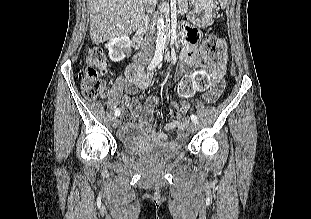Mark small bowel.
<instances>
[{
  "label": "small bowel",
  "mask_w": 311,
  "mask_h": 219,
  "mask_svg": "<svg viewBox=\"0 0 311 219\" xmlns=\"http://www.w3.org/2000/svg\"><path fill=\"white\" fill-rule=\"evenodd\" d=\"M182 51L179 58V66L175 74V81L183 83L192 77L188 68L196 63L197 43L190 36V31L186 29L181 39ZM126 74L128 76V84L126 86V94L123 99L124 107L127 113L122 117L120 126V136L124 140H129L135 137H141L145 141L159 142L167 141L168 135L166 132H173L176 135V142H182L186 139V115L188 107L183 104L175 107V112L169 122L163 125V131L153 130L151 128V118L153 109L160 105L159 97L149 95L146 97V105H141L133 96L138 90L146 89L151 82V74L144 73L140 64L134 63L130 66ZM224 71L219 72L216 69L212 70L210 88L204 93V99L208 102H214L222 93L224 88L223 80Z\"/></svg>",
  "instance_id": "obj_1"
}]
</instances>
